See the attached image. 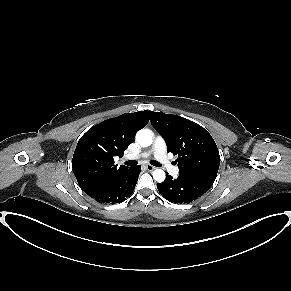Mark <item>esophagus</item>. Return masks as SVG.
Masks as SVG:
<instances>
[{
    "mask_svg": "<svg viewBox=\"0 0 291 291\" xmlns=\"http://www.w3.org/2000/svg\"><path fill=\"white\" fill-rule=\"evenodd\" d=\"M145 168H146V170H148V171H153V170L155 169V167L152 166V165H150V164L145 165Z\"/></svg>",
    "mask_w": 291,
    "mask_h": 291,
    "instance_id": "esophagus-1",
    "label": "esophagus"
}]
</instances>
